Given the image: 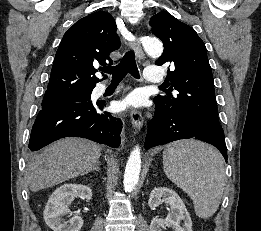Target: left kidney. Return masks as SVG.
I'll return each mask as SVG.
<instances>
[{
    "instance_id": "5707ae66",
    "label": "left kidney",
    "mask_w": 261,
    "mask_h": 231,
    "mask_svg": "<svg viewBox=\"0 0 261 231\" xmlns=\"http://www.w3.org/2000/svg\"><path fill=\"white\" fill-rule=\"evenodd\" d=\"M163 202L170 205L171 212L168 213L166 219L154 217L151 220L150 231H162L166 227L174 231H192L191 217L179 195L169 188H154L149 197V207L155 210ZM181 221H183L182 226Z\"/></svg>"
}]
</instances>
